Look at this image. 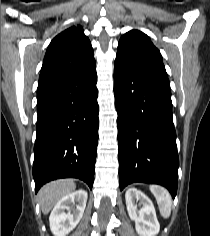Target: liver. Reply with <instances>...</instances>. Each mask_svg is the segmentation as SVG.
I'll return each mask as SVG.
<instances>
[{"mask_svg":"<svg viewBox=\"0 0 210 236\" xmlns=\"http://www.w3.org/2000/svg\"><path fill=\"white\" fill-rule=\"evenodd\" d=\"M75 189L76 184L71 179L57 180L44 185L38 193L43 214H48L60 199L74 192Z\"/></svg>","mask_w":210,"mask_h":236,"instance_id":"1","label":"liver"}]
</instances>
